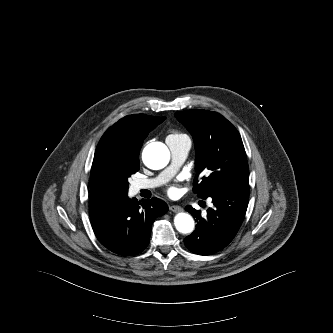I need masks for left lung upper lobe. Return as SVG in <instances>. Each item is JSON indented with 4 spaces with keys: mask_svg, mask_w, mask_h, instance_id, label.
Masks as SVG:
<instances>
[{
    "mask_svg": "<svg viewBox=\"0 0 333 333\" xmlns=\"http://www.w3.org/2000/svg\"><path fill=\"white\" fill-rule=\"evenodd\" d=\"M176 118L192 134L196 147L194 183L197 196L208 197L214 192L238 186H249V169L245 149L236 128L225 118L207 110L175 113Z\"/></svg>",
    "mask_w": 333,
    "mask_h": 333,
    "instance_id": "obj_1",
    "label": "left lung upper lobe"
}]
</instances>
